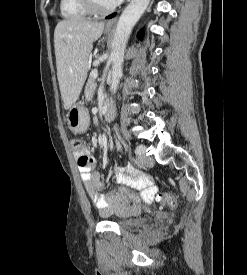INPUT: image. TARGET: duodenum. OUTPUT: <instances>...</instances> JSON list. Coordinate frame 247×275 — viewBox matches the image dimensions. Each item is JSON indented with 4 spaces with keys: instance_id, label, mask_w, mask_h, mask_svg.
Wrapping results in <instances>:
<instances>
[{
    "instance_id": "410a0bca",
    "label": "duodenum",
    "mask_w": 247,
    "mask_h": 275,
    "mask_svg": "<svg viewBox=\"0 0 247 275\" xmlns=\"http://www.w3.org/2000/svg\"><path fill=\"white\" fill-rule=\"evenodd\" d=\"M102 118L105 122H111L114 118V107L111 104L106 105L102 112Z\"/></svg>"
}]
</instances>
